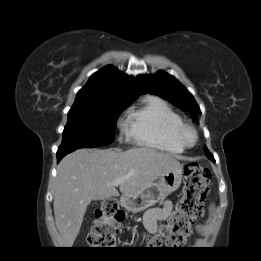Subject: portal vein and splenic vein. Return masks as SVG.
I'll use <instances>...</instances> for the list:
<instances>
[{
    "label": "portal vein and splenic vein",
    "mask_w": 261,
    "mask_h": 261,
    "mask_svg": "<svg viewBox=\"0 0 261 261\" xmlns=\"http://www.w3.org/2000/svg\"><path fill=\"white\" fill-rule=\"evenodd\" d=\"M128 177L129 176L116 178L112 183H109V185L118 186L120 183H122Z\"/></svg>",
    "instance_id": "portal-vein-and-splenic-vein-1"
}]
</instances>
